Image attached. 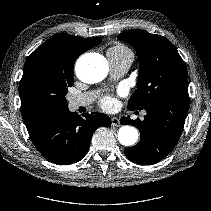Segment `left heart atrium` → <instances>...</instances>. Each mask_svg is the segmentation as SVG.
I'll return each mask as SVG.
<instances>
[{"label": "left heart atrium", "instance_id": "39dd6f15", "mask_svg": "<svg viewBox=\"0 0 211 211\" xmlns=\"http://www.w3.org/2000/svg\"><path fill=\"white\" fill-rule=\"evenodd\" d=\"M114 105H115V100L110 96H106L101 100V106L106 110L112 109Z\"/></svg>", "mask_w": 211, "mask_h": 211}]
</instances>
